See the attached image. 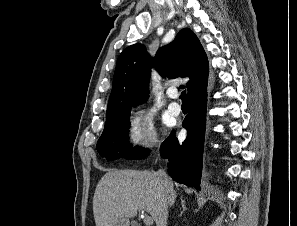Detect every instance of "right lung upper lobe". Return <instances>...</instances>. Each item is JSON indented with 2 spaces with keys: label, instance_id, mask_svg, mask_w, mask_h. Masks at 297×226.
Returning <instances> with one entry per match:
<instances>
[{
  "label": "right lung upper lobe",
  "instance_id": "right-lung-upper-lobe-1",
  "mask_svg": "<svg viewBox=\"0 0 297 226\" xmlns=\"http://www.w3.org/2000/svg\"><path fill=\"white\" fill-rule=\"evenodd\" d=\"M152 65L164 77H189L188 97L207 86L209 64L206 53L193 31L184 28L171 43L159 48L155 58L150 57L140 43L127 47L120 54L107 111L131 109L147 100Z\"/></svg>",
  "mask_w": 297,
  "mask_h": 226
}]
</instances>
